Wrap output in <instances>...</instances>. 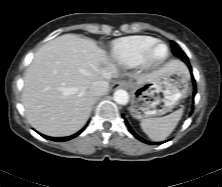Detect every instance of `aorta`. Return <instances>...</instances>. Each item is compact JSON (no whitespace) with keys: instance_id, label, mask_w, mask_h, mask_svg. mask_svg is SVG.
Listing matches in <instances>:
<instances>
[{"instance_id":"762f6f07","label":"aorta","mask_w":222,"mask_h":187,"mask_svg":"<svg viewBox=\"0 0 222 187\" xmlns=\"http://www.w3.org/2000/svg\"><path fill=\"white\" fill-rule=\"evenodd\" d=\"M114 101L120 105H126L129 101V95L127 91L119 89L114 93Z\"/></svg>"}]
</instances>
